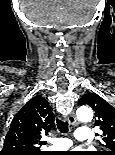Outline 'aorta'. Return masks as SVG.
<instances>
[{"instance_id":"aorta-1","label":"aorta","mask_w":115,"mask_h":155,"mask_svg":"<svg viewBox=\"0 0 115 155\" xmlns=\"http://www.w3.org/2000/svg\"><path fill=\"white\" fill-rule=\"evenodd\" d=\"M77 118L80 122H90L93 118V111L88 106H82L77 110Z\"/></svg>"}]
</instances>
